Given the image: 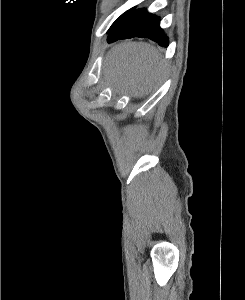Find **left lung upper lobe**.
Here are the masks:
<instances>
[{"instance_id":"obj_1","label":"left lung upper lobe","mask_w":245,"mask_h":300,"mask_svg":"<svg viewBox=\"0 0 245 300\" xmlns=\"http://www.w3.org/2000/svg\"><path fill=\"white\" fill-rule=\"evenodd\" d=\"M134 8H132V9H130V10H128V11H126L124 14H122L113 24H112V26L111 27H113L118 21H120L124 16H126L131 10H133ZM110 27V28H111Z\"/></svg>"}]
</instances>
